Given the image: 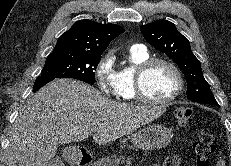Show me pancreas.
Wrapping results in <instances>:
<instances>
[{"instance_id": "obj_1", "label": "pancreas", "mask_w": 231, "mask_h": 166, "mask_svg": "<svg viewBox=\"0 0 231 166\" xmlns=\"http://www.w3.org/2000/svg\"><path fill=\"white\" fill-rule=\"evenodd\" d=\"M133 159L131 157L125 156H117L112 155L111 157H103L101 159L96 160L92 166H119V164H126V166H131V161Z\"/></svg>"}]
</instances>
